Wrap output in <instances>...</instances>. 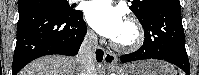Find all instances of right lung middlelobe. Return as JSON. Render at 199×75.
I'll return each mask as SVG.
<instances>
[{
    "instance_id": "1",
    "label": "right lung middle lobe",
    "mask_w": 199,
    "mask_h": 75,
    "mask_svg": "<svg viewBox=\"0 0 199 75\" xmlns=\"http://www.w3.org/2000/svg\"><path fill=\"white\" fill-rule=\"evenodd\" d=\"M44 9L59 16L71 18L77 11L72 10L67 0H18V11Z\"/></svg>"
}]
</instances>
